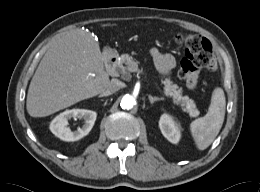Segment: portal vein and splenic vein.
<instances>
[{"label": "portal vein and splenic vein", "instance_id": "1", "mask_svg": "<svg viewBox=\"0 0 260 192\" xmlns=\"http://www.w3.org/2000/svg\"><path fill=\"white\" fill-rule=\"evenodd\" d=\"M131 71H132V72L142 73V70H140V69L138 68V65H134V66L131 68Z\"/></svg>", "mask_w": 260, "mask_h": 192}]
</instances>
